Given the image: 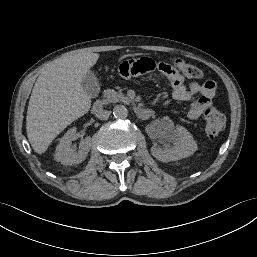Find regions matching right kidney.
Returning <instances> with one entry per match:
<instances>
[{
  "label": "right kidney",
  "instance_id": "1",
  "mask_svg": "<svg viewBox=\"0 0 257 257\" xmlns=\"http://www.w3.org/2000/svg\"><path fill=\"white\" fill-rule=\"evenodd\" d=\"M76 128L69 129L60 139L56 147L55 158L63 165L79 164L86 159L91 147V138L86 137L80 142L79 151L76 152L72 147V141L75 139Z\"/></svg>",
  "mask_w": 257,
  "mask_h": 257
}]
</instances>
